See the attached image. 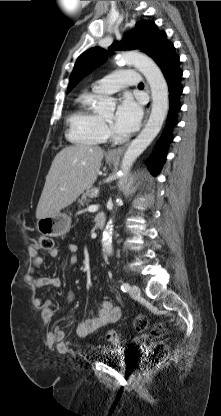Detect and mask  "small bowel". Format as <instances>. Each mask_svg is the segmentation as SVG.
<instances>
[{"instance_id": "1", "label": "small bowel", "mask_w": 221, "mask_h": 416, "mask_svg": "<svg viewBox=\"0 0 221 416\" xmlns=\"http://www.w3.org/2000/svg\"><path fill=\"white\" fill-rule=\"evenodd\" d=\"M68 251V263L75 265L78 262V245L75 243H69L67 245ZM52 256L59 254L58 249L51 250ZM43 263L42 257L38 254L37 249L33 248L31 251V266L28 272L29 279L33 282L37 288L53 287L58 288L61 286V280L57 277H38L35 278V271ZM69 302L74 300V294L69 292L67 295ZM35 303L42 309L43 317L50 320L55 313L54 303L50 299H43L41 297L35 298ZM121 316V310L118 306L114 305L110 300H103L100 303V307L97 315L86 321L80 322L76 326V333L80 337H86L98 332L101 328L107 324L116 322ZM65 333L62 329L55 330V338L58 341L63 340Z\"/></svg>"}]
</instances>
